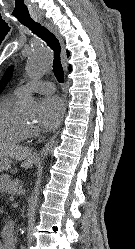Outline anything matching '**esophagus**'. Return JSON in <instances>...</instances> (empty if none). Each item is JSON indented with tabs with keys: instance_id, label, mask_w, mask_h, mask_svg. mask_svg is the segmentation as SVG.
Listing matches in <instances>:
<instances>
[{
	"instance_id": "1",
	"label": "esophagus",
	"mask_w": 135,
	"mask_h": 249,
	"mask_svg": "<svg viewBox=\"0 0 135 249\" xmlns=\"http://www.w3.org/2000/svg\"><path fill=\"white\" fill-rule=\"evenodd\" d=\"M45 26L57 37L61 44V61L64 64L66 60V53L64 49V42L62 37L60 36L58 30L50 23L44 22ZM59 132H57L46 144L45 146L40 150L39 154L40 155H47L53 148L57 135Z\"/></svg>"
}]
</instances>
